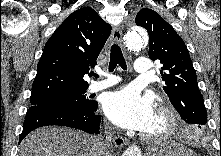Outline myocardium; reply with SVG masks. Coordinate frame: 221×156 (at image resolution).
<instances>
[{"label":"myocardium","instance_id":"obj_1","mask_svg":"<svg viewBox=\"0 0 221 156\" xmlns=\"http://www.w3.org/2000/svg\"><path fill=\"white\" fill-rule=\"evenodd\" d=\"M156 114L162 121V127L154 132H145L143 139L148 142H160L171 137L178 125V119L174 110L167 105H160Z\"/></svg>","mask_w":221,"mask_h":156}]
</instances>
